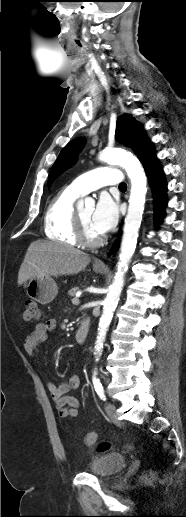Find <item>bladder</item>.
I'll return each instance as SVG.
<instances>
[{"label":"bladder","mask_w":186,"mask_h":517,"mask_svg":"<svg viewBox=\"0 0 186 517\" xmlns=\"http://www.w3.org/2000/svg\"><path fill=\"white\" fill-rule=\"evenodd\" d=\"M126 463L127 457L123 454H107L92 461L90 473L98 477H109L121 471Z\"/></svg>","instance_id":"bladder-1"}]
</instances>
